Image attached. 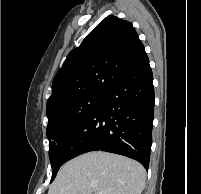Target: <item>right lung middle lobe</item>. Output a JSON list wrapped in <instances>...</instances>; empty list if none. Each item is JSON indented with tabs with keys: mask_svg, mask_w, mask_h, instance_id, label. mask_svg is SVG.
I'll return each mask as SVG.
<instances>
[{
	"mask_svg": "<svg viewBox=\"0 0 201 194\" xmlns=\"http://www.w3.org/2000/svg\"><path fill=\"white\" fill-rule=\"evenodd\" d=\"M102 98L103 95L84 97L64 104L47 114L49 119L47 137L50 143L49 157L52 166L51 181L54 180L60 168L55 152L59 149L63 138L98 106Z\"/></svg>",
	"mask_w": 201,
	"mask_h": 194,
	"instance_id": "1",
	"label": "right lung middle lobe"
}]
</instances>
